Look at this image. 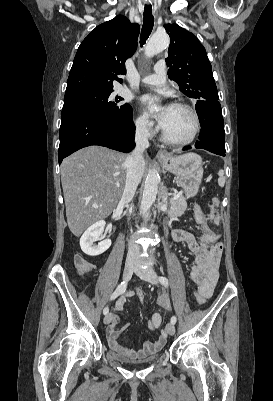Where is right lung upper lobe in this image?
I'll return each mask as SVG.
<instances>
[{
    "mask_svg": "<svg viewBox=\"0 0 273 401\" xmlns=\"http://www.w3.org/2000/svg\"><path fill=\"white\" fill-rule=\"evenodd\" d=\"M139 25L124 16L97 26L80 44L67 81L65 95L113 90L117 75L125 74V61L137 48Z\"/></svg>",
    "mask_w": 273,
    "mask_h": 401,
    "instance_id": "right-lung-upper-lobe-1",
    "label": "right lung upper lobe"
}]
</instances>
